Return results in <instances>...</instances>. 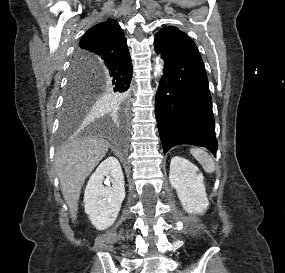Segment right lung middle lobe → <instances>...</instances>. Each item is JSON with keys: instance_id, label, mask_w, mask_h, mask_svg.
<instances>
[{"instance_id": "right-lung-middle-lobe-1", "label": "right lung middle lobe", "mask_w": 285, "mask_h": 273, "mask_svg": "<svg viewBox=\"0 0 285 273\" xmlns=\"http://www.w3.org/2000/svg\"><path fill=\"white\" fill-rule=\"evenodd\" d=\"M99 88L97 77L89 73L80 74L72 66L61 116L62 130L66 131L77 125L101 97L103 101H121L119 93L113 94L110 89L100 92Z\"/></svg>"}]
</instances>
